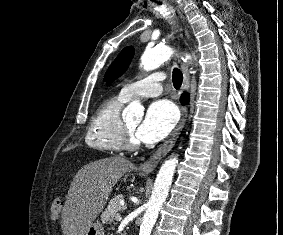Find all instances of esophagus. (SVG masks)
<instances>
[{"label":"esophagus","instance_id":"1","mask_svg":"<svg viewBox=\"0 0 283 235\" xmlns=\"http://www.w3.org/2000/svg\"><path fill=\"white\" fill-rule=\"evenodd\" d=\"M177 11L181 18H183V15L179 8H177ZM185 36H186V45L188 46V40H189V32L187 28L185 27ZM181 68L183 71V90H188L189 84H190V73H189V65L187 62H183L181 64ZM188 115V108L187 106H183L181 108V119L176 128L172 131V133L169 135V137L155 150V152L150 156V158L143 162L139 167L138 171L143 175H148L151 173L156 166L158 165L159 161L171 150V148L176 143V140L181 133L182 129L185 126L186 120Z\"/></svg>","mask_w":283,"mask_h":235}]
</instances>
